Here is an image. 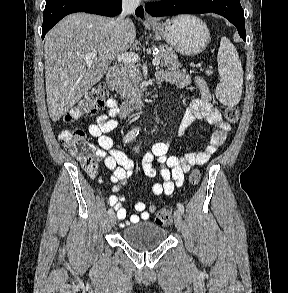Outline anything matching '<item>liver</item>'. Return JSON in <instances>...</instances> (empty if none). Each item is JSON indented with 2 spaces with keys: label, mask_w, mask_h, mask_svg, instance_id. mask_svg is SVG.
Returning a JSON list of instances; mask_svg holds the SVG:
<instances>
[{
  "label": "liver",
  "mask_w": 288,
  "mask_h": 293,
  "mask_svg": "<svg viewBox=\"0 0 288 293\" xmlns=\"http://www.w3.org/2000/svg\"><path fill=\"white\" fill-rule=\"evenodd\" d=\"M136 29L88 13L63 18L45 37V80L48 111L58 121L105 75L108 66L134 43ZM96 53L92 61L83 55Z\"/></svg>",
  "instance_id": "liver-1"
}]
</instances>
